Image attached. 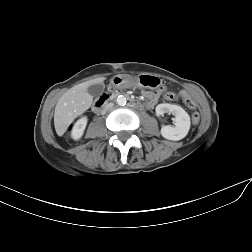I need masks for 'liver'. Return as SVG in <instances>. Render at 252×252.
<instances>
[{
  "instance_id": "liver-1",
  "label": "liver",
  "mask_w": 252,
  "mask_h": 252,
  "mask_svg": "<svg viewBox=\"0 0 252 252\" xmlns=\"http://www.w3.org/2000/svg\"><path fill=\"white\" fill-rule=\"evenodd\" d=\"M104 80L102 77L80 83L61 96L54 113V126L58 136H62L74 119L90 108L93 97L87 92V88Z\"/></svg>"
}]
</instances>
